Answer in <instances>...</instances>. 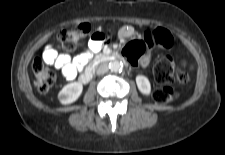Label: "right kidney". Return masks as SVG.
I'll use <instances>...</instances> for the list:
<instances>
[{
	"instance_id": "obj_1",
	"label": "right kidney",
	"mask_w": 225,
	"mask_h": 155,
	"mask_svg": "<svg viewBox=\"0 0 225 155\" xmlns=\"http://www.w3.org/2000/svg\"><path fill=\"white\" fill-rule=\"evenodd\" d=\"M83 90V85L80 82H73L67 84L63 89L58 93V100L62 104H70L75 102L81 95Z\"/></svg>"
}]
</instances>
